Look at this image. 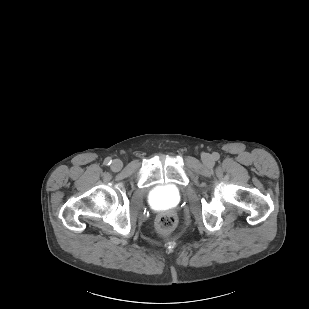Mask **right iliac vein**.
<instances>
[{
	"instance_id": "63e3f726",
	"label": "right iliac vein",
	"mask_w": 309,
	"mask_h": 309,
	"mask_svg": "<svg viewBox=\"0 0 309 309\" xmlns=\"http://www.w3.org/2000/svg\"><path fill=\"white\" fill-rule=\"evenodd\" d=\"M122 166H123V164H122L121 160L116 159L112 162L111 169L113 171H119V170H121Z\"/></svg>"
}]
</instances>
